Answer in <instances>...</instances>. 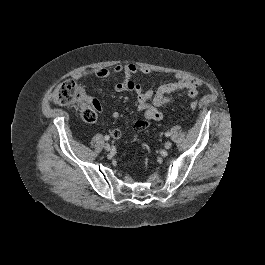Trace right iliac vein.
<instances>
[{
  "label": "right iliac vein",
  "mask_w": 265,
  "mask_h": 265,
  "mask_svg": "<svg viewBox=\"0 0 265 265\" xmlns=\"http://www.w3.org/2000/svg\"><path fill=\"white\" fill-rule=\"evenodd\" d=\"M104 149H105L107 152H109V151L111 150V145H110L109 143H106V144L104 145Z\"/></svg>",
  "instance_id": "obj_1"
}]
</instances>
